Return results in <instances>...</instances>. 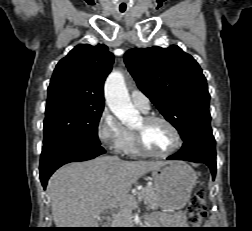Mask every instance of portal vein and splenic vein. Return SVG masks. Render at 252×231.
Returning <instances> with one entry per match:
<instances>
[{"instance_id": "obj_1", "label": "portal vein and splenic vein", "mask_w": 252, "mask_h": 231, "mask_svg": "<svg viewBox=\"0 0 252 231\" xmlns=\"http://www.w3.org/2000/svg\"><path fill=\"white\" fill-rule=\"evenodd\" d=\"M132 201H133L132 197L127 196V197L123 198V200L120 201L119 206H121L124 203H131ZM115 206H116L115 204L109 203L108 205L104 206L103 209L111 208V207H115Z\"/></svg>"}]
</instances>
